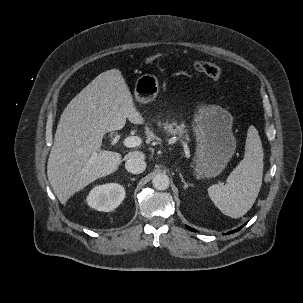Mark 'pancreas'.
<instances>
[{
  "instance_id": "cf45deb5",
  "label": "pancreas",
  "mask_w": 303,
  "mask_h": 303,
  "mask_svg": "<svg viewBox=\"0 0 303 303\" xmlns=\"http://www.w3.org/2000/svg\"><path fill=\"white\" fill-rule=\"evenodd\" d=\"M163 126L167 134L178 135L180 138L189 140L188 129H186V125L184 123L178 125L175 121H173L172 123H163Z\"/></svg>"
}]
</instances>
